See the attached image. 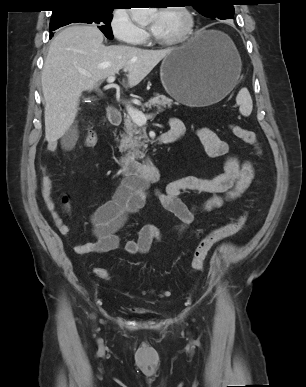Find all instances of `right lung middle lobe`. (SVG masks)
I'll return each instance as SVG.
<instances>
[{"mask_svg":"<svg viewBox=\"0 0 306 387\" xmlns=\"http://www.w3.org/2000/svg\"><path fill=\"white\" fill-rule=\"evenodd\" d=\"M112 11V7L104 6L69 7L52 14L49 30L54 31L71 23H88L97 26L108 39H112Z\"/></svg>","mask_w":306,"mask_h":387,"instance_id":"right-lung-middle-lobe-1","label":"right lung middle lobe"}]
</instances>
